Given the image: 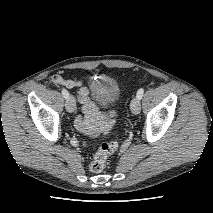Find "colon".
<instances>
[{"label": "colon", "instance_id": "5ec220e1", "mask_svg": "<svg viewBox=\"0 0 213 213\" xmlns=\"http://www.w3.org/2000/svg\"><path fill=\"white\" fill-rule=\"evenodd\" d=\"M118 148V144L114 140L103 142L95 152L88 168L92 173H100L106 166L108 157Z\"/></svg>", "mask_w": 213, "mask_h": 213}]
</instances>
